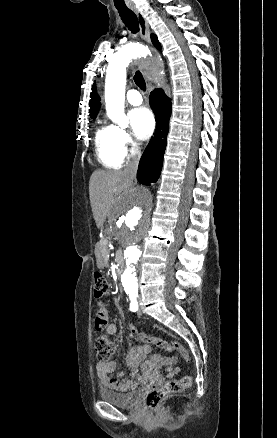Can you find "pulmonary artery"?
Segmentation results:
<instances>
[{
  "mask_svg": "<svg viewBox=\"0 0 277 438\" xmlns=\"http://www.w3.org/2000/svg\"><path fill=\"white\" fill-rule=\"evenodd\" d=\"M141 92L142 91H141L140 87H130V89L127 91V95H126L127 101L131 105H134V106L141 105L143 102L142 98L140 97Z\"/></svg>",
  "mask_w": 277,
  "mask_h": 438,
  "instance_id": "pulmonary-artery-1",
  "label": "pulmonary artery"
}]
</instances>
